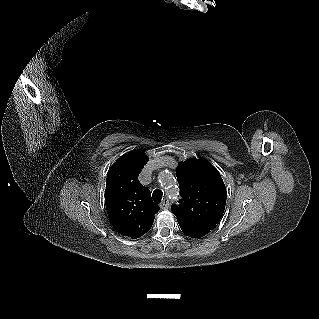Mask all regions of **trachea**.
Returning <instances> with one entry per match:
<instances>
[{
  "label": "trachea",
  "instance_id": "1",
  "mask_svg": "<svg viewBox=\"0 0 319 319\" xmlns=\"http://www.w3.org/2000/svg\"><path fill=\"white\" fill-rule=\"evenodd\" d=\"M162 196H163V193L161 190L159 189H156L153 194H152V198L153 200L156 202V203H160L161 200H162Z\"/></svg>",
  "mask_w": 319,
  "mask_h": 319
}]
</instances>
